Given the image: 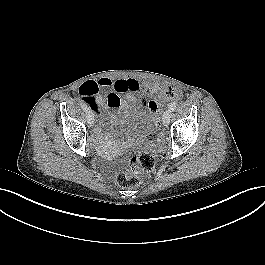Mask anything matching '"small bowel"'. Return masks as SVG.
I'll use <instances>...</instances> for the list:
<instances>
[{"label":"small bowel","mask_w":265,"mask_h":265,"mask_svg":"<svg viewBox=\"0 0 265 265\" xmlns=\"http://www.w3.org/2000/svg\"><path fill=\"white\" fill-rule=\"evenodd\" d=\"M145 88L150 91H157L158 86L154 84H146ZM141 90L140 82L135 78H124L112 80L107 77L100 78L97 81H86L79 88V98L85 104H88L94 115L98 117L103 107L117 108L120 113H126L127 101H134V94ZM109 91L108 93H104ZM113 94L118 99V102L110 99ZM123 96V100L120 96ZM173 96H176L174 92ZM168 97H165L167 99ZM158 108V107H157ZM114 118V117H113ZM95 136L98 141L104 140V135L101 132L100 126L95 128Z\"/></svg>","instance_id":"obj_1"}]
</instances>
